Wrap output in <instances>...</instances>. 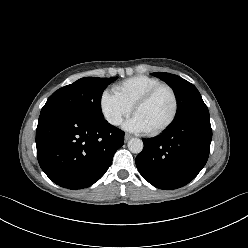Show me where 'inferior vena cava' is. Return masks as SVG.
I'll use <instances>...</instances> for the list:
<instances>
[{
    "label": "inferior vena cava",
    "instance_id": "602c4592",
    "mask_svg": "<svg viewBox=\"0 0 248 248\" xmlns=\"http://www.w3.org/2000/svg\"><path fill=\"white\" fill-rule=\"evenodd\" d=\"M112 124L114 125H119L121 123V119L120 118H115L114 120L111 121Z\"/></svg>",
    "mask_w": 248,
    "mask_h": 248
}]
</instances>
